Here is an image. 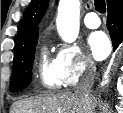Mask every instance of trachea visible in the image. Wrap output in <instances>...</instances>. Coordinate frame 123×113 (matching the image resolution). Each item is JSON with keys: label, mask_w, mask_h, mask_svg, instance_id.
Instances as JSON below:
<instances>
[{"label": "trachea", "mask_w": 123, "mask_h": 113, "mask_svg": "<svg viewBox=\"0 0 123 113\" xmlns=\"http://www.w3.org/2000/svg\"><path fill=\"white\" fill-rule=\"evenodd\" d=\"M95 9L100 13H105L106 11V3L105 0H95L94 2Z\"/></svg>", "instance_id": "3493384b"}]
</instances>
